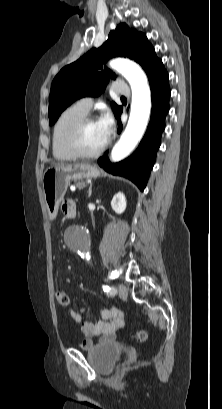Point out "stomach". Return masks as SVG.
Instances as JSON below:
<instances>
[{
  "mask_svg": "<svg viewBox=\"0 0 222 409\" xmlns=\"http://www.w3.org/2000/svg\"><path fill=\"white\" fill-rule=\"evenodd\" d=\"M99 176V170L88 163L66 166H52L43 173L42 185L45 207L50 220L57 216L59 205L64 198L71 180H82Z\"/></svg>",
  "mask_w": 222,
  "mask_h": 409,
  "instance_id": "obj_1",
  "label": "stomach"
}]
</instances>
